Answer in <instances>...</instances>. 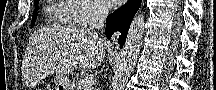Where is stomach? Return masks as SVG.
<instances>
[{
    "label": "stomach",
    "mask_w": 216,
    "mask_h": 90,
    "mask_svg": "<svg viewBox=\"0 0 216 90\" xmlns=\"http://www.w3.org/2000/svg\"><path fill=\"white\" fill-rule=\"evenodd\" d=\"M54 83L55 90H71V82L65 75L57 74Z\"/></svg>",
    "instance_id": "1"
}]
</instances>
